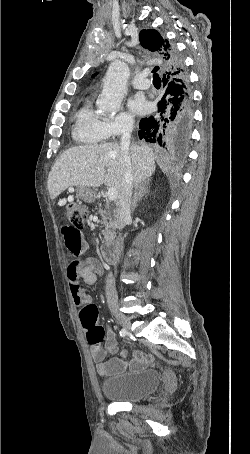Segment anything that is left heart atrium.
<instances>
[{"instance_id": "1", "label": "left heart atrium", "mask_w": 250, "mask_h": 454, "mask_svg": "<svg viewBox=\"0 0 250 454\" xmlns=\"http://www.w3.org/2000/svg\"><path fill=\"white\" fill-rule=\"evenodd\" d=\"M129 109L135 114H142L147 109V103L140 96H136L129 101Z\"/></svg>"}]
</instances>
